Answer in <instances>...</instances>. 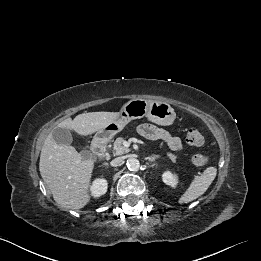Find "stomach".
Listing matches in <instances>:
<instances>
[{
  "label": "stomach",
  "instance_id": "obj_1",
  "mask_svg": "<svg viewBox=\"0 0 261 261\" xmlns=\"http://www.w3.org/2000/svg\"><path fill=\"white\" fill-rule=\"evenodd\" d=\"M174 109L164 101H154L147 98H135L124 104L120 116L109 123L103 132L97 133L95 141H107L132 120L147 117V119L158 125H170L175 120Z\"/></svg>",
  "mask_w": 261,
  "mask_h": 261
}]
</instances>
